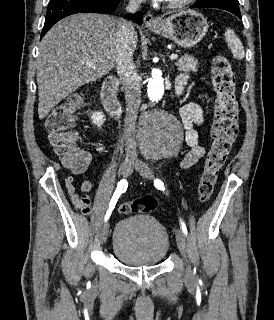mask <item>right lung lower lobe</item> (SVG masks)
<instances>
[{"label":"right lung lower lobe","mask_w":274,"mask_h":320,"mask_svg":"<svg viewBox=\"0 0 274 320\" xmlns=\"http://www.w3.org/2000/svg\"><path fill=\"white\" fill-rule=\"evenodd\" d=\"M120 1L121 0H50L41 38L56 22L66 16L82 12L110 14L116 10ZM125 18L135 21L138 25H141L143 21L141 12L129 14L125 16Z\"/></svg>","instance_id":"obj_1"}]
</instances>
